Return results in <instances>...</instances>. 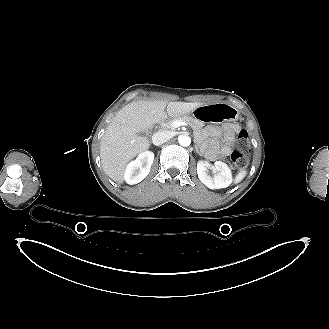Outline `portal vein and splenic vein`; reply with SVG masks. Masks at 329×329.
I'll list each match as a JSON object with an SVG mask.
<instances>
[{
  "mask_svg": "<svg viewBox=\"0 0 329 329\" xmlns=\"http://www.w3.org/2000/svg\"><path fill=\"white\" fill-rule=\"evenodd\" d=\"M185 125H187L186 122H183V121H175V122H173L172 127L173 128H178L180 126H185Z\"/></svg>",
  "mask_w": 329,
  "mask_h": 329,
  "instance_id": "portal-vein-and-splenic-vein-1",
  "label": "portal vein and splenic vein"
}]
</instances>
